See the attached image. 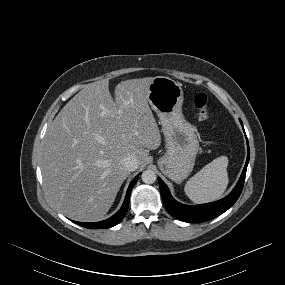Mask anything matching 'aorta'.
I'll use <instances>...</instances> for the list:
<instances>
[{
  "instance_id": "aorta-1",
  "label": "aorta",
  "mask_w": 285,
  "mask_h": 285,
  "mask_svg": "<svg viewBox=\"0 0 285 285\" xmlns=\"http://www.w3.org/2000/svg\"><path fill=\"white\" fill-rule=\"evenodd\" d=\"M142 181L145 184H153L156 179V173L153 170H145L141 175Z\"/></svg>"
}]
</instances>
